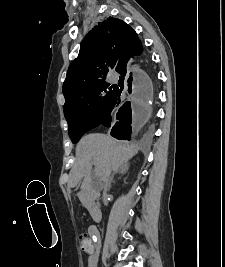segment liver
<instances>
[{
    "mask_svg": "<svg viewBox=\"0 0 225 267\" xmlns=\"http://www.w3.org/2000/svg\"><path fill=\"white\" fill-rule=\"evenodd\" d=\"M136 145L123 143L109 135L93 133L84 136L76 147V162L70 171L68 192L84 178L82 189L91 182L92 164L96 166L97 177L101 180L118 170L138 153Z\"/></svg>",
    "mask_w": 225,
    "mask_h": 267,
    "instance_id": "liver-1",
    "label": "liver"
}]
</instances>
